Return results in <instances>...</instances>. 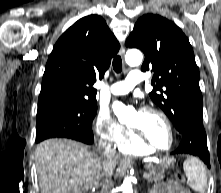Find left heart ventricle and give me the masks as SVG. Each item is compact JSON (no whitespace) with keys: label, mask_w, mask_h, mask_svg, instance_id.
I'll use <instances>...</instances> for the list:
<instances>
[{"label":"left heart ventricle","mask_w":221,"mask_h":193,"mask_svg":"<svg viewBox=\"0 0 221 193\" xmlns=\"http://www.w3.org/2000/svg\"><path fill=\"white\" fill-rule=\"evenodd\" d=\"M129 126L140 131L154 145L166 148L170 136L166 124L160 116L151 112H141L132 115Z\"/></svg>","instance_id":"1"}]
</instances>
